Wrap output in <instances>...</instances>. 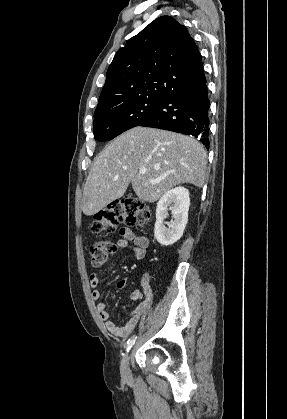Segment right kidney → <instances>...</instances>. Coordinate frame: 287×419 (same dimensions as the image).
<instances>
[{"label": "right kidney", "mask_w": 287, "mask_h": 419, "mask_svg": "<svg viewBox=\"0 0 287 419\" xmlns=\"http://www.w3.org/2000/svg\"><path fill=\"white\" fill-rule=\"evenodd\" d=\"M190 206L189 191L184 187H176L167 191L158 201L156 207V223L154 236L162 246H169L177 242L183 235L188 222ZM171 210L173 221L164 225Z\"/></svg>", "instance_id": "1"}]
</instances>
